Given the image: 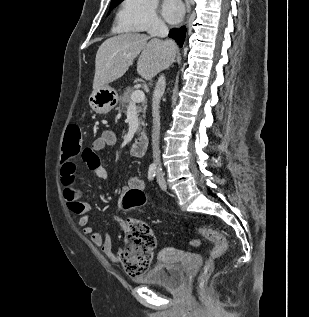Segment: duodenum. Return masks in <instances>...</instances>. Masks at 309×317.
Here are the masks:
<instances>
[{
	"label": "duodenum",
	"mask_w": 309,
	"mask_h": 317,
	"mask_svg": "<svg viewBox=\"0 0 309 317\" xmlns=\"http://www.w3.org/2000/svg\"><path fill=\"white\" fill-rule=\"evenodd\" d=\"M148 145V139L145 133H141L130 147V154L134 157L144 156Z\"/></svg>",
	"instance_id": "410a0bca"
}]
</instances>
